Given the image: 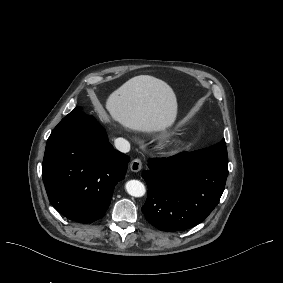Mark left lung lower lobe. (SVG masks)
I'll return each instance as SVG.
<instances>
[{"instance_id":"1","label":"left lung lower lobe","mask_w":283,"mask_h":283,"mask_svg":"<svg viewBox=\"0 0 283 283\" xmlns=\"http://www.w3.org/2000/svg\"><path fill=\"white\" fill-rule=\"evenodd\" d=\"M142 177L148 186L146 220L162 231H184L216 207L228 175L225 140L168 158H152Z\"/></svg>"}]
</instances>
